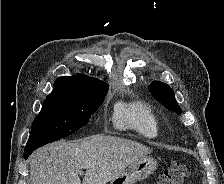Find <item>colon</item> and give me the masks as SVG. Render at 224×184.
Instances as JSON below:
<instances>
[{
    "label": "colon",
    "mask_w": 224,
    "mask_h": 184,
    "mask_svg": "<svg viewBox=\"0 0 224 184\" xmlns=\"http://www.w3.org/2000/svg\"><path fill=\"white\" fill-rule=\"evenodd\" d=\"M190 168L181 162H172L158 177L157 184H183L188 177Z\"/></svg>",
    "instance_id": "obj_1"
}]
</instances>
